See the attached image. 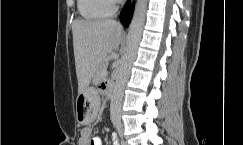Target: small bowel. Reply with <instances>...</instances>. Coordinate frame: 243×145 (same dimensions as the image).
Returning a JSON list of instances; mask_svg holds the SVG:
<instances>
[{"mask_svg":"<svg viewBox=\"0 0 243 145\" xmlns=\"http://www.w3.org/2000/svg\"><path fill=\"white\" fill-rule=\"evenodd\" d=\"M112 141L113 143H117V137L115 134H112ZM78 145H103V143L100 137L92 135L91 129L84 128L81 130Z\"/></svg>","mask_w":243,"mask_h":145,"instance_id":"1","label":"small bowel"}]
</instances>
